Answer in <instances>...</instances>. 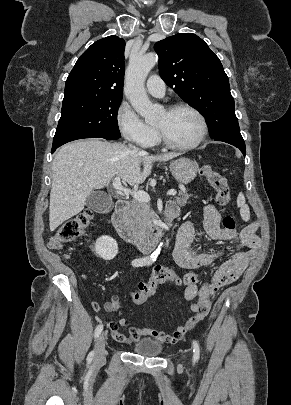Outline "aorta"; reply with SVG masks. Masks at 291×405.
Instances as JSON below:
<instances>
[{
    "label": "aorta",
    "instance_id": "762f6f07",
    "mask_svg": "<svg viewBox=\"0 0 291 405\" xmlns=\"http://www.w3.org/2000/svg\"><path fill=\"white\" fill-rule=\"evenodd\" d=\"M158 62L155 53L144 55H132L125 78V94L136 112L142 116L146 122L155 120L159 113V108L149 100L144 82L150 70ZM162 243L150 255V259L155 261L160 254Z\"/></svg>",
    "mask_w": 291,
    "mask_h": 405
}]
</instances>
